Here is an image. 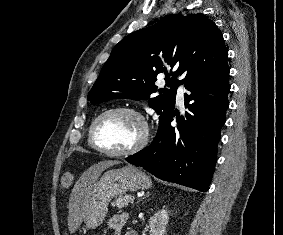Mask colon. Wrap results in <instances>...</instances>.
<instances>
[{"label":"colon","instance_id":"obj_1","mask_svg":"<svg viewBox=\"0 0 283 235\" xmlns=\"http://www.w3.org/2000/svg\"><path fill=\"white\" fill-rule=\"evenodd\" d=\"M73 180V176L70 172H65L61 177V187L62 188H68Z\"/></svg>","mask_w":283,"mask_h":235}]
</instances>
